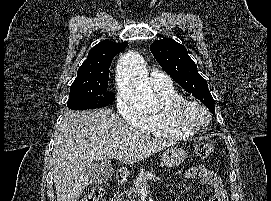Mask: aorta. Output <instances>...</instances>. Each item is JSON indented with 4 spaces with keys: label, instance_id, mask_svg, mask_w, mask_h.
Here are the masks:
<instances>
[{
    "label": "aorta",
    "instance_id": "762f6f07",
    "mask_svg": "<svg viewBox=\"0 0 271 201\" xmlns=\"http://www.w3.org/2000/svg\"><path fill=\"white\" fill-rule=\"evenodd\" d=\"M117 77L123 91L135 105L150 109L157 107L158 100L148 85L146 68L139 53L130 51L121 56Z\"/></svg>",
    "mask_w": 271,
    "mask_h": 201
}]
</instances>
